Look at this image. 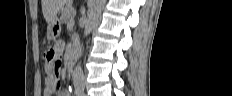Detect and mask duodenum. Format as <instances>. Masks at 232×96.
<instances>
[{"label":"duodenum","mask_w":232,"mask_h":96,"mask_svg":"<svg viewBox=\"0 0 232 96\" xmlns=\"http://www.w3.org/2000/svg\"><path fill=\"white\" fill-rule=\"evenodd\" d=\"M78 55H79V49L77 47H74L69 55L67 69H66L67 74H72Z\"/></svg>","instance_id":"410a0bca"}]
</instances>
